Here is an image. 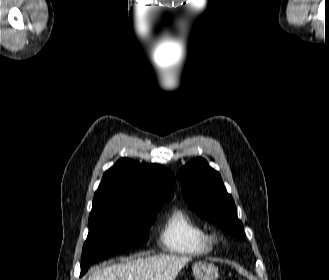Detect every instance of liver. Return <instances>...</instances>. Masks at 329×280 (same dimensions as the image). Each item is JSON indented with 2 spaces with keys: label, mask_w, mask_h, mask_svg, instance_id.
<instances>
[{
  "label": "liver",
  "mask_w": 329,
  "mask_h": 280,
  "mask_svg": "<svg viewBox=\"0 0 329 280\" xmlns=\"http://www.w3.org/2000/svg\"><path fill=\"white\" fill-rule=\"evenodd\" d=\"M191 259L177 255L129 258L122 263L94 270L87 280H175Z\"/></svg>",
  "instance_id": "6515ba94"
}]
</instances>
